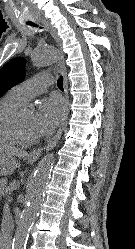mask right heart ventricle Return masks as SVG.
Here are the masks:
<instances>
[{"mask_svg":"<svg viewBox=\"0 0 135 249\" xmlns=\"http://www.w3.org/2000/svg\"><path fill=\"white\" fill-rule=\"evenodd\" d=\"M23 104L24 101L17 98L12 91L0 100V145H18L21 143L11 128L10 119Z\"/></svg>","mask_w":135,"mask_h":249,"instance_id":"obj_1","label":"right heart ventricle"}]
</instances>
